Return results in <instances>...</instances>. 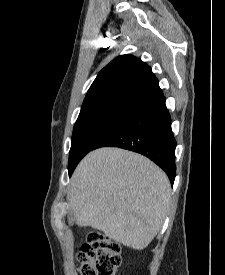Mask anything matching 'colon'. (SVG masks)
I'll list each match as a JSON object with an SVG mask.
<instances>
[{"label": "colon", "mask_w": 225, "mask_h": 275, "mask_svg": "<svg viewBox=\"0 0 225 275\" xmlns=\"http://www.w3.org/2000/svg\"><path fill=\"white\" fill-rule=\"evenodd\" d=\"M78 262L79 275H114L121 263L120 244L99 231H90Z\"/></svg>", "instance_id": "1"}]
</instances>
